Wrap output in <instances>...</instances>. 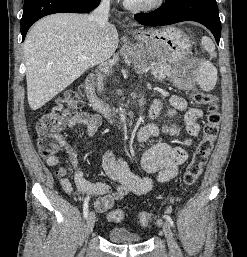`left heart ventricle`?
Segmentation results:
<instances>
[{
    "label": "left heart ventricle",
    "instance_id": "left-heart-ventricle-1",
    "mask_svg": "<svg viewBox=\"0 0 247 257\" xmlns=\"http://www.w3.org/2000/svg\"><path fill=\"white\" fill-rule=\"evenodd\" d=\"M130 1L141 3V2H146V1H150V0H130Z\"/></svg>",
    "mask_w": 247,
    "mask_h": 257
}]
</instances>
